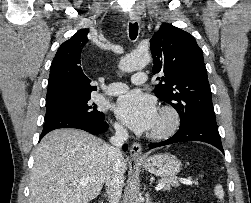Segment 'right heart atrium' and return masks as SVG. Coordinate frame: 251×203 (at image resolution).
Segmentation results:
<instances>
[{
    "mask_svg": "<svg viewBox=\"0 0 251 203\" xmlns=\"http://www.w3.org/2000/svg\"><path fill=\"white\" fill-rule=\"evenodd\" d=\"M114 128H115V130H116L117 133H120V134L124 133V128L122 127L121 124L116 123V124L114 125Z\"/></svg>",
    "mask_w": 251,
    "mask_h": 203,
    "instance_id": "obj_1",
    "label": "right heart atrium"
}]
</instances>
